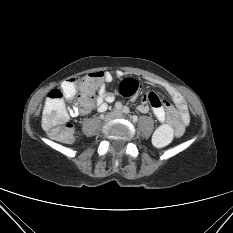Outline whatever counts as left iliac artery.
<instances>
[{"mask_svg": "<svg viewBox=\"0 0 233 233\" xmlns=\"http://www.w3.org/2000/svg\"><path fill=\"white\" fill-rule=\"evenodd\" d=\"M123 112H124L125 114H128V113H129V108H128L127 106H124V107H123Z\"/></svg>", "mask_w": 233, "mask_h": 233, "instance_id": "44dca946", "label": "left iliac artery"}]
</instances>
